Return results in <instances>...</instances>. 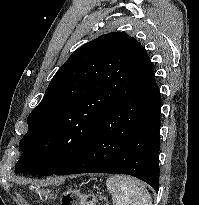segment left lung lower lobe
Masks as SVG:
<instances>
[{"instance_id": "obj_1", "label": "left lung lower lobe", "mask_w": 199, "mask_h": 205, "mask_svg": "<svg viewBox=\"0 0 199 205\" xmlns=\"http://www.w3.org/2000/svg\"><path fill=\"white\" fill-rule=\"evenodd\" d=\"M160 106L154 69L144 49L127 91L103 117L82 153L59 175L128 174L158 192Z\"/></svg>"}]
</instances>
